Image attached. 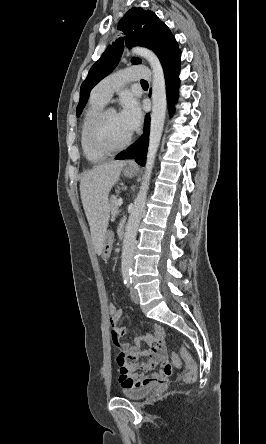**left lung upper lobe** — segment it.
Wrapping results in <instances>:
<instances>
[{"instance_id": "5c2ea615", "label": "left lung upper lobe", "mask_w": 266, "mask_h": 444, "mask_svg": "<svg viewBox=\"0 0 266 444\" xmlns=\"http://www.w3.org/2000/svg\"><path fill=\"white\" fill-rule=\"evenodd\" d=\"M118 30L125 37L118 38L109 45L100 59L91 67L88 76L81 85L80 100L76 109L79 116L86 105L91 89L117 66L123 53L124 42L130 48L142 45L153 50L162 66L180 55L177 41L169 28L150 10L132 8L118 23ZM133 64L142 62L140 58L131 59Z\"/></svg>"}]
</instances>
